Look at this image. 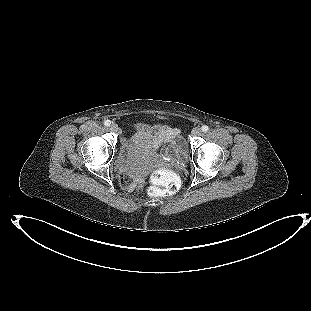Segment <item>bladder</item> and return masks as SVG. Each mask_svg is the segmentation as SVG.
<instances>
[{
	"label": "bladder",
	"mask_w": 311,
	"mask_h": 311,
	"mask_svg": "<svg viewBox=\"0 0 311 311\" xmlns=\"http://www.w3.org/2000/svg\"><path fill=\"white\" fill-rule=\"evenodd\" d=\"M143 135L140 132H137L133 135V142H132V148H134L137 143L141 142L143 140Z\"/></svg>",
	"instance_id": "1"
}]
</instances>
